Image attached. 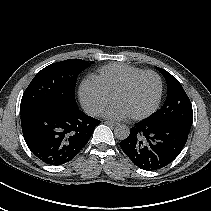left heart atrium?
<instances>
[{
  "label": "left heart atrium",
  "mask_w": 211,
  "mask_h": 211,
  "mask_svg": "<svg viewBox=\"0 0 211 211\" xmlns=\"http://www.w3.org/2000/svg\"><path fill=\"white\" fill-rule=\"evenodd\" d=\"M110 119L122 120L130 117L129 113L117 102H113L104 112Z\"/></svg>",
  "instance_id": "1"
}]
</instances>
